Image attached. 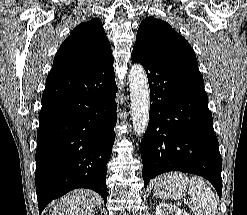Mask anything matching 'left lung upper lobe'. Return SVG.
Returning <instances> with one entry per match:
<instances>
[{"instance_id": "1", "label": "left lung upper lobe", "mask_w": 247, "mask_h": 215, "mask_svg": "<svg viewBox=\"0 0 247 215\" xmlns=\"http://www.w3.org/2000/svg\"><path fill=\"white\" fill-rule=\"evenodd\" d=\"M133 49L164 63L198 69L196 55L188 41L167 22L154 17H147L140 24Z\"/></svg>"}]
</instances>
